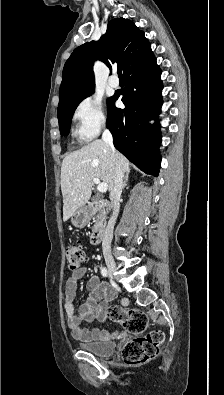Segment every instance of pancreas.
I'll return each instance as SVG.
<instances>
[{"label": "pancreas", "instance_id": "cf45deb5", "mask_svg": "<svg viewBox=\"0 0 224 395\" xmlns=\"http://www.w3.org/2000/svg\"><path fill=\"white\" fill-rule=\"evenodd\" d=\"M106 215H107V211L103 207L95 208L94 230H97L104 224Z\"/></svg>", "mask_w": 224, "mask_h": 395}]
</instances>
